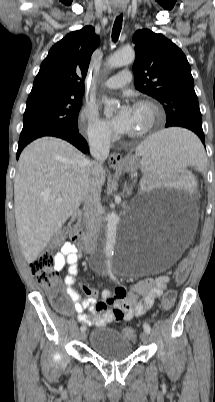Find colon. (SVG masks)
<instances>
[{
	"mask_svg": "<svg viewBox=\"0 0 215 402\" xmlns=\"http://www.w3.org/2000/svg\"><path fill=\"white\" fill-rule=\"evenodd\" d=\"M63 241V233L58 232L50 242V248L43 251L31 263L32 273L37 282L44 287L49 294L52 306L60 313H65L68 309L67 297L62 289L58 279V272L55 269V256L52 251L53 248L58 247ZM197 251H186L185 259L181 262L176 270V279L178 282L184 281L186 278L192 260H197ZM176 299V292L168 290L162 297V308L165 310L170 309ZM123 334L130 340H134L137 332L133 327H126Z\"/></svg>",
	"mask_w": 215,
	"mask_h": 402,
	"instance_id": "obj_1",
	"label": "colon"
}]
</instances>
